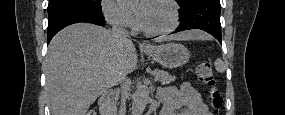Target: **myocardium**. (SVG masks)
<instances>
[{
    "label": "myocardium",
    "instance_id": "1",
    "mask_svg": "<svg viewBox=\"0 0 285 115\" xmlns=\"http://www.w3.org/2000/svg\"><path fill=\"white\" fill-rule=\"evenodd\" d=\"M153 1H162L167 3L172 10V16H173V24L171 27L164 29V30H158V31H153L145 28L141 21L139 22V29L144 32L145 34L151 35V36H164L168 35L172 32H174L177 27L179 26L180 23V12H179V6L176 1L174 0H153ZM152 2V1H149Z\"/></svg>",
    "mask_w": 285,
    "mask_h": 115
}]
</instances>
